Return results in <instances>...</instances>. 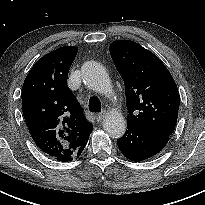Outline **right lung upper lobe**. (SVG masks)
Here are the masks:
<instances>
[{
	"mask_svg": "<svg viewBox=\"0 0 205 205\" xmlns=\"http://www.w3.org/2000/svg\"><path fill=\"white\" fill-rule=\"evenodd\" d=\"M77 51V47L65 46L44 55L22 87L23 115L34 142L61 162L76 158L93 130L67 86Z\"/></svg>",
	"mask_w": 205,
	"mask_h": 205,
	"instance_id": "right-lung-upper-lobe-1",
	"label": "right lung upper lobe"
}]
</instances>
